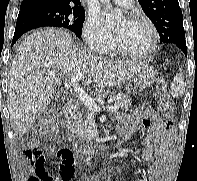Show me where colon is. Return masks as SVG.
<instances>
[{
	"label": "colon",
	"mask_w": 197,
	"mask_h": 181,
	"mask_svg": "<svg viewBox=\"0 0 197 181\" xmlns=\"http://www.w3.org/2000/svg\"><path fill=\"white\" fill-rule=\"evenodd\" d=\"M158 107L161 114L166 118H171L174 114V104L170 99L167 86L162 83L157 90ZM59 126L57 121L52 115L47 114L43 117L38 132L41 135H52L58 130ZM31 162L35 166L34 174L28 181H69L75 171V159L74 154L70 149L64 148L58 151L57 158L59 160V173L53 175L49 173L45 167V157L37 150L29 152Z\"/></svg>",
	"instance_id": "colon-1"
}]
</instances>
